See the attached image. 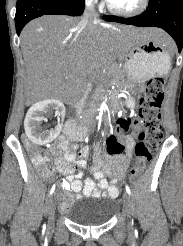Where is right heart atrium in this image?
Here are the masks:
<instances>
[{"label":"right heart atrium","instance_id":"obj_1","mask_svg":"<svg viewBox=\"0 0 183 246\" xmlns=\"http://www.w3.org/2000/svg\"><path fill=\"white\" fill-rule=\"evenodd\" d=\"M87 1H89V2H96L97 0H87Z\"/></svg>","mask_w":183,"mask_h":246}]
</instances>
